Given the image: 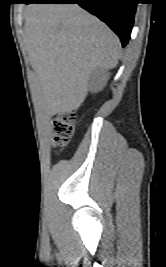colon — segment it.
<instances>
[{
  "label": "colon",
  "mask_w": 166,
  "mask_h": 267,
  "mask_svg": "<svg viewBox=\"0 0 166 267\" xmlns=\"http://www.w3.org/2000/svg\"><path fill=\"white\" fill-rule=\"evenodd\" d=\"M76 114L72 111H63L53 117L54 126V145L56 147H65L74 132Z\"/></svg>",
  "instance_id": "colon-1"
}]
</instances>
